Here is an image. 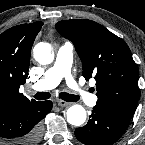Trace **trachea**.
<instances>
[{
	"mask_svg": "<svg viewBox=\"0 0 145 145\" xmlns=\"http://www.w3.org/2000/svg\"><path fill=\"white\" fill-rule=\"evenodd\" d=\"M59 96L61 99L68 102H75L79 100L78 96L73 95V94H68L66 92H61ZM33 97L36 98L37 100H46V99H49L51 95L49 92H38Z\"/></svg>",
	"mask_w": 145,
	"mask_h": 145,
	"instance_id": "3493384b",
	"label": "trachea"
}]
</instances>
